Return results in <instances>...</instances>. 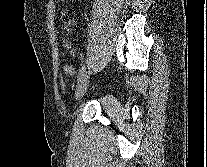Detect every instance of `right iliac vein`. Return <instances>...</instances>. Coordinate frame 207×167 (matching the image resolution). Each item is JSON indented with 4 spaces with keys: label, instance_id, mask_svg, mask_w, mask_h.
I'll list each match as a JSON object with an SVG mask.
<instances>
[{
    "label": "right iliac vein",
    "instance_id": "right-iliac-vein-1",
    "mask_svg": "<svg viewBox=\"0 0 207 167\" xmlns=\"http://www.w3.org/2000/svg\"><path fill=\"white\" fill-rule=\"evenodd\" d=\"M88 83H89V73L84 75L81 81L77 85L76 92H75L76 100H80L83 97L84 93L87 90Z\"/></svg>",
    "mask_w": 207,
    "mask_h": 167
}]
</instances>
